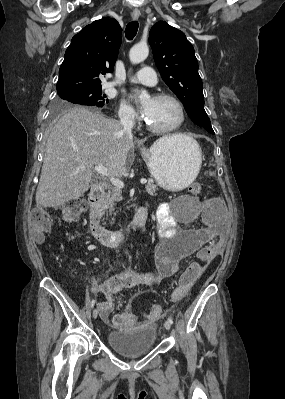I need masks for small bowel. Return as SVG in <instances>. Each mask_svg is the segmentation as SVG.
Segmentation results:
<instances>
[{
  "label": "small bowel",
  "mask_w": 285,
  "mask_h": 399,
  "mask_svg": "<svg viewBox=\"0 0 285 399\" xmlns=\"http://www.w3.org/2000/svg\"><path fill=\"white\" fill-rule=\"evenodd\" d=\"M192 199L191 201H193ZM145 208V206H143ZM146 209V208H145ZM158 224L160 240L154 247L152 272H142L135 269L119 271L102 282H96L98 288L105 295V299L99 302L97 309L102 321L119 330H130L145 322L138 324L136 315L131 312H121L110 316L112 298L123 290L151 286L163 278L172 277L179 272L180 262L194 252L201 257L202 248L217 240H221V227L224 223V209L217 198H209L200 205L190 203L182 211L175 214L169 202L159 203L155 212ZM200 220L203 227H196ZM185 223L188 226L182 227ZM188 295H180L178 289L173 292V302H179ZM138 295L132 297L135 299ZM150 321L153 319L149 318Z\"/></svg>",
  "instance_id": "1"
}]
</instances>
